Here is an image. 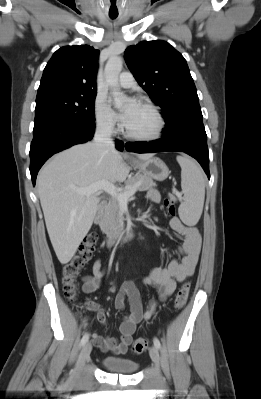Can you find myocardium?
<instances>
[{
  "instance_id": "f54148a6",
  "label": "myocardium",
  "mask_w": 261,
  "mask_h": 399,
  "mask_svg": "<svg viewBox=\"0 0 261 399\" xmlns=\"http://www.w3.org/2000/svg\"><path fill=\"white\" fill-rule=\"evenodd\" d=\"M140 105L148 108L156 117L157 120V126L156 129L146 135H137V134H133L130 131H128V129L125 127V125L123 126V133L124 135L134 141H140V142H149V141H154L158 138H160L162 136V134L164 133V130L166 128V120L165 117L163 115V113L161 112V110L159 109V107H157L154 103L150 102V101H142L140 103Z\"/></svg>"
}]
</instances>
